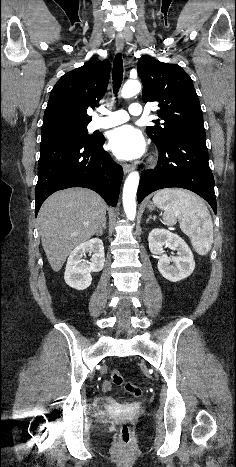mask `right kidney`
<instances>
[{"instance_id":"ca27d5eb","label":"right kidney","mask_w":236,"mask_h":467,"mask_svg":"<svg viewBox=\"0 0 236 467\" xmlns=\"http://www.w3.org/2000/svg\"><path fill=\"white\" fill-rule=\"evenodd\" d=\"M86 253L92 254L91 262L82 259ZM104 262L105 253L101 239L93 238L80 244L68 258L64 274L66 284L77 290L88 288L92 282L91 272L101 271Z\"/></svg>"}]
</instances>
